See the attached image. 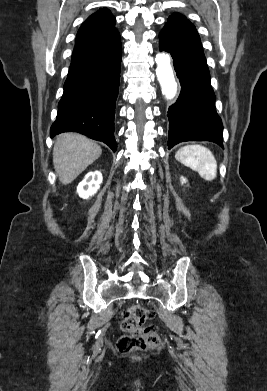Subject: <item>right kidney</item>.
I'll list each match as a JSON object with an SVG mask.
<instances>
[{
  "mask_svg": "<svg viewBox=\"0 0 267 391\" xmlns=\"http://www.w3.org/2000/svg\"><path fill=\"white\" fill-rule=\"evenodd\" d=\"M102 183V174L96 170L85 175L84 179L77 187L78 195L83 199H88L97 193Z\"/></svg>",
  "mask_w": 267,
  "mask_h": 391,
  "instance_id": "ca27d5eb",
  "label": "right kidney"
}]
</instances>
